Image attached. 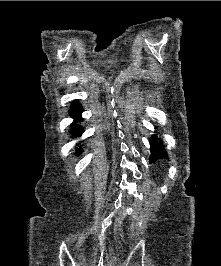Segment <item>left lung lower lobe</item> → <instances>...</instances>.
<instances>
[{"label": "left lung lower lobe", "mask_w": 221, "mask_h": 266, "mask_svg": "<svg viewBox=\"0 0 221 266\" xmlns=\"http://www.w3.org/2000/svg\"><path fill=\"white\" fill-rule=\"evenodd\" d=\"M151 157L150 162H154L157 158H167V153L162 145L161 140L156 136L150 139Z\"/></svg>", "instance_id": "left-lung-lower-lobe-1"}]
</instances>
